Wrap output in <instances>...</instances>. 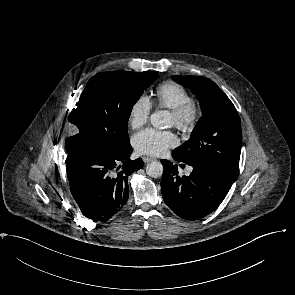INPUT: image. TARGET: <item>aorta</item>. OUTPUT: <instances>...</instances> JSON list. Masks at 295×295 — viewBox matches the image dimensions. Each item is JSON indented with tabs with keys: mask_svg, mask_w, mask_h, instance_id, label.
Segmentation results:
<instances>
[{
	"mask_svg": "<svg viewBox=\"0 0 295 295\" xmlns=\"http://www.w3.org/2000/svg\"><path fill=\"white\" fill-rule=\"evenodd\" d=\"M150 122L154 128L166 129L170 127V113L167 110H158L151 114ZM146 173L150 177L158 178L163 174V165L159 161H152L146 166Z\"/></svg>",
	"mask_w": 295,
	"mask_h": 295,
	"instance_id": "aorta-1",
	"label": "aorta"
}]
</instances>
